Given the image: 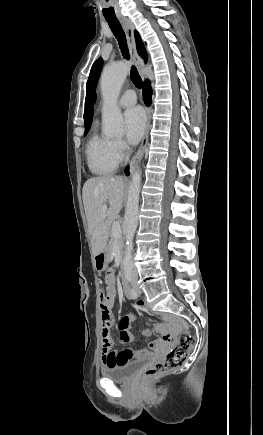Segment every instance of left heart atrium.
I'll use <instances>...</instances> for the list:
<instances>
[{
  "label": "left heart atrium",
  "instance_id": "left-heart-atrium-1",
  "mask_svg": "<svg viewBox=\"0 0 263 435\" xmlns=\"http://www.w3.org/2000/svg\"><path fill=\"white\" fill-rule=\"evenodd\" d=\"M125 134L128 143L137 144L145 129L146 120L143 110L140 107H132L124 114Z\"/></svg>",
  "mask_w": 263,
  "mask_h": 435
}]
</instances>
